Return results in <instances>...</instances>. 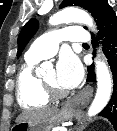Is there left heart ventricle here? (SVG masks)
<instances>
[{
	"label": "left heart ventricle",
	"instance_id": "1",
	"mask_svg": "<svg viewBox=\"0 0 117 131\" xmlns=\"http://www.w3.org/2000/svg\"><path fill=\"white\" fill-rule=\"evenodd\" d=\"M46 81L56 85L57 87L63 89L62 87L59 86L57 82V73L55 69H51L47 72V74L43 77Z\"/></svg>",
	"mask_w": 117,
	"mask_h": 131
}]
</instances>
